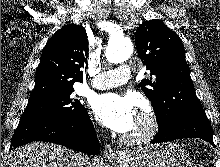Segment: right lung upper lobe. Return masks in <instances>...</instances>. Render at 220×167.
<instances>
[{
	"label": "right lung upper lobe",
	"instance_id": "right-lung-upper-lobe-1",
	"mask_svg": "<svg viewBox=\"0 0 220 167\" xmlns=\"http://www.w3.org/2000/svg\"><path fill=\"white\" fill-rule=\"evenodd\" d=\"M88 50L84 27L69 24L58 30L43 50L30 99L58 93L82 82L80 68L88 66Z\"/></svg>",
	"mask_w": 220,
	"mask_h": 167
}]
</instances>
